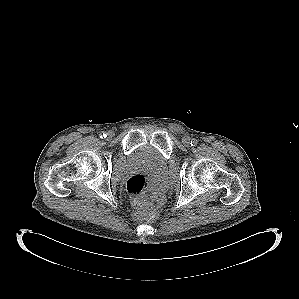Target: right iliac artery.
I'll list each match as a JSON object with an SVG mask.
<instances>
[{
  "label": "right iliac artery",
  "mask_w": 299,
  "mask_h": 299,
  "mask_svg": "<svg viewBox=\"0 0 299 299\" xmlns=\"http://www.w3.org/2000/svg\"><path fill=\"white\" fill-rule=\"evenodd\" d=\"M100 137H101V138H106L107 135H106L105 133H102V134L100 135Z\"/></svg>",
  "instance_id": "82829eb1"
}]
</instances>
